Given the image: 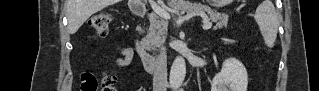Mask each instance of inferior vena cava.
Here are the masks:
<instances>
[{
    "label": "inferior vena cava",
    "instance_id": "602c4592",
    "mask_svg": "<svg viewBox=\"0 0 319 91\" xmlns=\"http://www.w3.org/2000/svg\"><path fill=\"white\" fill-rule=\"evenodd\" d=\"M167 56L166 48L161 46L156 60L153 75V91H166L167 89Z\"/></svg>",
    "mask_w": 319,
    "mask_h": 91
}]
</instances>
